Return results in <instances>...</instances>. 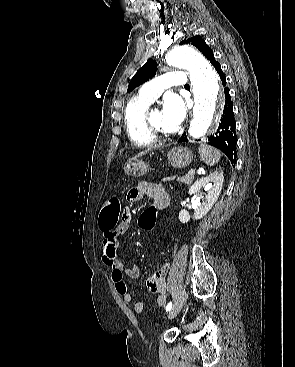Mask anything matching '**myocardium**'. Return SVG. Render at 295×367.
I'll list each match as a JSON object with an SVG mask.
<instances>
[{
  "mask_svg": "<svg viewBox=\"0 0 295 367\" xmlns=\"http://www.w3.org/2000/svg\"><path fill=\"white\" fill-rule=\"evenodd\" d=\"M151 112L152 111H148L145 116V125L149 134L154 139H163L168 137L169 133L162 131L161 129H159L157 126L154 125L151 119Z\"/></svg>",
  "mask_w": 295,
  "mask_h": 367,
  "instance_id": "1",
  "label": "myocardium"
}]
</instances>
